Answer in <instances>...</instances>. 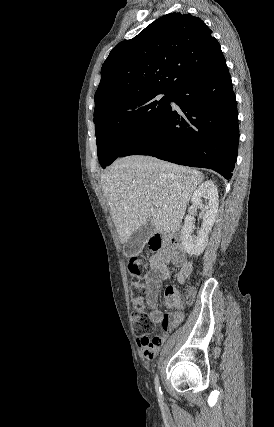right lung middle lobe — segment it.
Returning a JSON list of instances; mask_svg holds the SVG:
<instances>
[{
  "instance_id": "right-lung-middle-lobe-1",
  "label": "right lung middle lobe",
  "mask_w": 274,
  "mask_h": 427,
  "mask_svg": "<svg viewBox=\"0 0 274 427\" xmlns=\"http://www.w3.org/2000/svg\"><path fill=\"white\" fill-rule=\"evenodd\" d=\"M151 93L121 100L94 117L101 166L110 165L133 142L147 135L165 116L172 94Z\"/></svg>"
}]
</instances>
